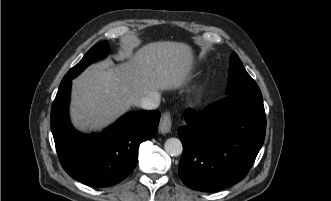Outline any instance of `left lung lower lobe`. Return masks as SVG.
Returning a JSON list of instances; mask_svg holds the SVG:
<instances>
[{
  "mask_svg": "<svg viewBox=\"0 0 331 201\" xmlns=\"http://www.w3.org/2000/svg\"><path fill=\"white\" fill-rule=\"evenodd\" d=\"M179 176L194 190L216 191L241 181L264 142L266 116L260 91L228 95L203 111L185 113Z\"/></svg>",
  "mask_w": 331,
  "mask_h": 201,
  "instance_id": "1",
  "label": "left lung lower lobe"
}]
</instances>
